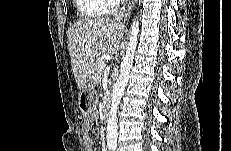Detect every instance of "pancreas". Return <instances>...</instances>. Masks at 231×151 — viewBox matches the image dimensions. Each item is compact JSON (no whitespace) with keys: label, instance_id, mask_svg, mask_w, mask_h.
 <instances>
[{"label":"pancreas","instance_id":"1","mask_svg":"<svg viewBox=\"0 0 231 151\" xmlns=\"http://www.w3.org/2000/svg\"><path fill=\"white\" fill-rule=\"evenodd\" d=\"M102 61L100 60L96 66H95V69H94V73L92 74V82L94 84H99L100 81H101V71L99 70V64L101 63Z\"/></svg>","mask_w":231,"mask_h":151}]
</instances>
